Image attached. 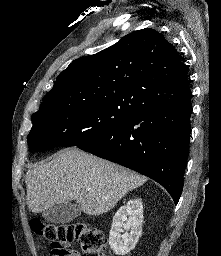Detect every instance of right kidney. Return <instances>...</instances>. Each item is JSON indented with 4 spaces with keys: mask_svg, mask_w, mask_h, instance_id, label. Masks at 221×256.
I'll list each match as a JSON object with an SVG mask.
<instances>
[{
    "mask_svg": "<svg viewBox=\"0 0 221 256\" xmlns=\"http://www.w3.org/2000/svg\"><path fill=\"white\" fill-rule=\"evenodd\" d=\"M142 223L143 204L140 199H132L120 207L113 217L109 234V245L116 255H126L135 248L142 234Z\"/></svg>",
    "mask_w": 221,
    "mask_h": 256,
    "instance_id": "right-kidney-1",
    "label": "right kidney"
}]
</instances>
